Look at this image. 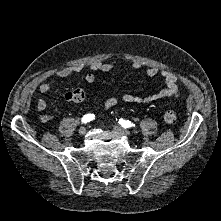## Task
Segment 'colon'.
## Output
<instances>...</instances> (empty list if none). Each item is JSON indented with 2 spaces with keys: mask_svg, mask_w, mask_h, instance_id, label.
<instances>
[{
  "mask_svg": "<svg viewBox=\"0 0 221 221\" xmlns=\"http://www.w3.org/2000/svg\"><path fill=\"white\" fill-rule=\"evenodd\" d=\"M85 96V92L82 89H77L73 91L69 97L68 100L71 102H79L81 101ZM164 121L166 124L173 125L177 121L176 113L173 109H168L164 114Z\"/></svg>",
  "mask_w": 221,
  "mask_h": 221,
  "instance_id": "colon-1",
  "label": "colon"
}]
</instances>
